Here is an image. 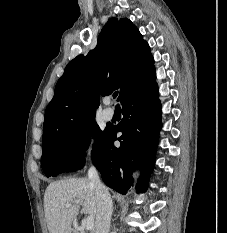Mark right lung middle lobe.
I'll use <instances>...</instances> for the list:
<instances>
[{
    "label": "right lung middle lobe",
    "instance_id": "1",
    "mask_svg": "<svg viewBox=\"0 0 227 233\" xmlns=\"http://www.w3.org/2000/svg\"><path fill=\"white\" fill-rule=\"evenodd\" d=\"M108 133L100 130L95 120L85 123L66 134L42 145L41 166L47 177L62 172L81 169L84 164L83 153L91 138L95 140L91 157L93 158Z\"/></svg>",
    "mask_w": 227,
    "mask_h": 233
}]
</instances>
